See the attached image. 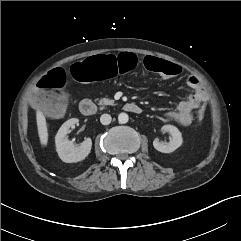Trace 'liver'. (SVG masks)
I'll return each instance as SVG.
<instances>
[{"label":"liver","mask_w":241,"mask_h":241,"mask_svg":"<svg viewBox=\"0 0 241 241\" xmlns=\"http://www.w3.org/2000/svg\"><path fill=\"white\" fill-rule=\"evenodd\" d=\"M36 120L40 143L42 146H46L48 143V128L46 118L40 110L36 112Z\"/></svg>","instance_id":"liver-1"}]
</instances>
